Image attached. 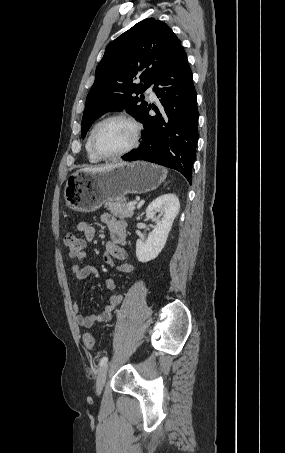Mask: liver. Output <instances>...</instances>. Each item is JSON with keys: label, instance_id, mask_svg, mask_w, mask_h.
<instances>
[{"label": "liver", "instance_id": "liver-1", "mask_svg": "<svg viewBox=\"0 0 285 453\" xmlns=\"http://www.w3.org/2000/svg\"><path fill=\"white\" fill-rule=\"evenodd\" d=\"M119 164H123V163H119ZM116 165H118V164H110V165L102 166V167H85V168L80 169L79 171L98 172V171H102V170H105V169H108V168H112V167H114Z\"/></svg>", "mask_w": 285, "mask_h": 453}]
</instances>
